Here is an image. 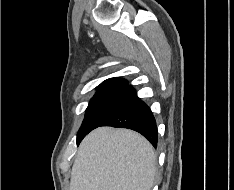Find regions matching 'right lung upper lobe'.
Masks as SVG:
<instances>
[{"label": "right lung upper lobe", "mask_w": 234, "mask_h": 190, "mask_svg": "<svg viewBox=\"0 0 234 190\" xmlns=\"http://www.w3.org/2000/svg\"><path fill=\"white\" fill-rule=\"evenodd\" d=\"M118 81H123V79H120V78H118V77L110 78V79L105 80V81H104L103 83H101L99 86L106 85V84H110V83H114V82H118Z\"/></svg>", "instance_id": "1"}]
</instances>
